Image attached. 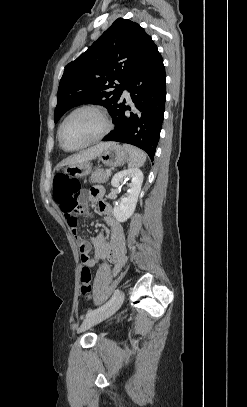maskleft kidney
Instances as JSON below:
<instances>
[{"instance_id": "left-kidney-1", "label": "left kidney", "mask_w": 247, "mask_h": 407, "mask_svg": "<svg viewBox=\"0 0 247 407\" xmlns=\"http://www.w3.org/2000/svg\"><path fill=\"white\" fill-rule=\"evenodd\" d=\"M130 179L127 196L120 199L118 206H114L113 213L119 222H125L135 211L139 193L143 183V173L140 169H128L116 173L111 181L113 187H118L123 179Z\"/></svg>"}]
</instances>
